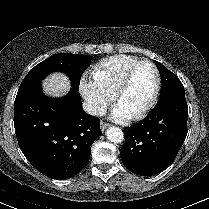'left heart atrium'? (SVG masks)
<instances>
[{"mask_svg": "<svg viewBox=\"0 0 209 209\" xmlns=\"http://www.w3.org/2000/svg\"><path fill=\"white\" fill-rule=\"evenodd\" d=\"M112 116L115 120L124 121L131 118L132 114L118 104L114 108Z\"/></svg>", "mask_w": 209, "mask_h": 209, "instance_id": "left-heart-atrium-1", "label": "left heart atrium"}]
</instances>
